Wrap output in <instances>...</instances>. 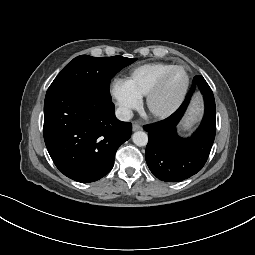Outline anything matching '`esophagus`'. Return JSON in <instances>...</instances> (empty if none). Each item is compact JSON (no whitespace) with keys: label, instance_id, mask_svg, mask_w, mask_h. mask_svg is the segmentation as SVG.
Wrapping results in <instances>:
<instances>
[{"label":"esophagus","instance_id":"esophagus-1","mask_svg":"<svg viewBox=\"0 0 255 255\" xmlns=\"http://www.w3.org/2000/svg\"><path fill=\"white\" fill-rule=\"evenodd\" d=\"M132 128H133V131H137V130H141L142 129V127L139 124H137V123H134Z\"/></svg>","mask_w":255,"mask_h":255}]
</instances>
